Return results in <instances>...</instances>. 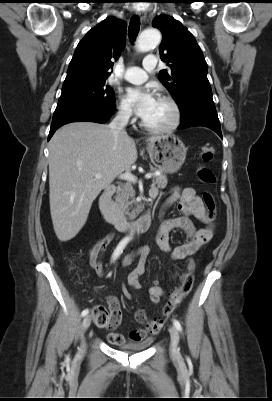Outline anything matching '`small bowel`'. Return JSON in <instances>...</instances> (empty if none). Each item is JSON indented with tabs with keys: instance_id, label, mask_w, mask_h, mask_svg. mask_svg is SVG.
Wrapping results in <instances>:
<instances>
[{
	"instance_id": "c3829d8e",
	"label": "small bowel",
	"mask_w": 272,
	"mask_h": 401,
	"mask_svg": "<svg viewBox=\"0 0 272 401\" xmlns=\"http://www.w3.org/2000/svg\"><path fill=\"white\" fill-rule=\"evenodd\" d=\"M150 195L151 197L156 198L158 196V190L156 188L151 189ZM173 205L177 207L180 215L161 223L157 233L156 243L161 250L170 254L172 260H186V271L180 275L181 279H185L194 268L191 256L212 238L214 233V224L208 219L204 204L201 198L196 195L193 188L185 187L173 189L170 197L166 201V207ZM192 216L204 223L205 226L197 229L190 219ZM173 230L183 231L187 236L186 242L176 247H172L169 242V235ZM112 238V233L101 237L91 247L88 254L91 267L100 276L105 274L102 266V257L112 241ZM149 252L150 250L147 246H141L135 252L126 256L123 260V266L126 267L130 265L135 258L139 259L137 266L127 276V285L129 287L134 289L141 288L140 276L145 271ZM122 291L125 298H132V294L125 286H123ZM163 291V287L158 282H154L149 288L150 302L152 304H158ZM106 301L108 309L111 311L113 317L109 328L115 329L121 322L122 313L120 303L117 298L113 296H108ZM137 320L141 324H144L145 327L132 330L127 337L115 332H110L108 334L109 341L115 345L123 344L127 341H145L148 335L157 334L162 327V323L141 322L138 319V314Z\"/></svg>"
}]
</instances>
